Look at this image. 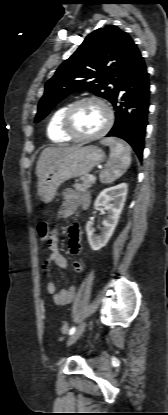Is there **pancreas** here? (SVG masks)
I'll return each mask as SVG.
<instances>
[{
	"label": "pancreas",
	"instance_id": "obj_1",
	"mask_svg": "<svg viewBox=\"0 0 168 415\" xmlns=\"http://www.w3.org/2000/svg\"><path fill=\"white\" fill-rule=\"evenodd\" d=\"M94 183H95V179L90 180L88 176H83L80 178V180L77 181L76 184H74V188L77 191H84V190L89 189Z\"/></svg>",
	"mask_w": 168,
	"mask_h": 415
}]
</instances>
